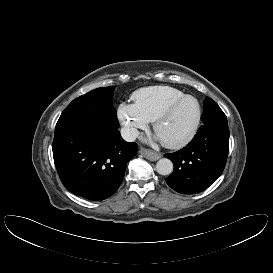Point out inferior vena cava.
Instances as JSON below:
<instances>
[{
	"label": "inferior vena cava",
	"instance_id": "inferior-vena-cava-1",
	"mask_svg": "<svg viewBox=\"0 0 273 273\" xmlns=\"http://www.w3.org/2000/svg\"><path fill=\"white\" fill-rule=\"evenodd\" d=\"M139 135V131L136 128L123 127L121 129V136L127 142H133Z\"/></svg>",
	"mask_w": 273,
	"mask_h": 273
}]
</instances>
